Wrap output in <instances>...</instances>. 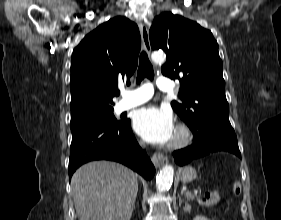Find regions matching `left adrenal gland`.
Segmentation results:
<instances>
[{
  "mask_svg": "<svg viewBox=\"0 0 281 220\" xmlns=\"http://www.w3.org/2000/svg\"><path fill=\"white\" fill-rule=\"evenodd\" d=\"M183 194V192H181L180 195H178V198H179V205L182 204L183 200L181 199V195ZM187 206H188V203L185 201V207H184V210H187Z\"/></svg>",
  "mask_w": 281,
  "mask_h": 220,
  "instance_id": "1",
  "label": "left adrenal gland"
}]
</instances>
